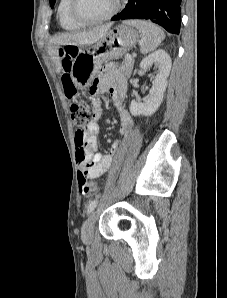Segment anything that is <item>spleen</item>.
Instances as JSON below:
<instances>
[{
    "mask_svg": "<svg viewBox=\"0 0 227 298\" xmlns=\"http://www.w3.org/2000/svg\"><path fill=\"white\" fill-rule=\"evenodd\" d=\"M125 23L136 27L141 33L142 44L140 51L142 54L154 51L165 38V34L162 29L151 22L143 20H129Z\"/></svg>",
    "mask_w": 227,
    "mask_h": 298,
    "instance_id": "spleen-1",
    "label": "spleen"
}]
</instances>
